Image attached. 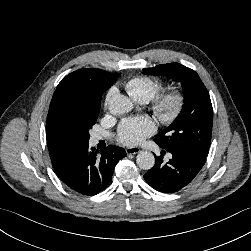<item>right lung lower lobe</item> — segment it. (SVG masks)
I'll list each match as a JSON object with an SVG mask.
<instances>
[{
	"instance_id": "obj_1",
	"label": "right lung lower lobe",
	"mask_w": 251,
	"mask_h": 251,
	"mask_svg": "<svg viewBox=\"0 0 251 251\" xmlns=\"http://www.w3.org/2000/svg\"><path fill=\"white\" fill-rule=\"evenodd\" d=\"M126 156L121 147L108 146L99 154L85 143L53 168L60 180L73 191L82 195H93L104 190L111 181L118 161Z\"/></svg>"
}]
</instances>
